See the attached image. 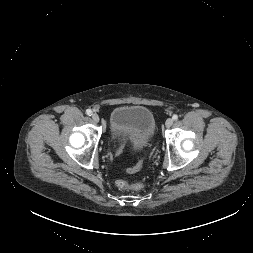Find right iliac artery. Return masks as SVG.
Returning a JSON list of instances; mask_svg holds the SVG:
<instances>
[{"mask_svg":"<svg viewBox=\"0 0 253 253\" xmlns=\"http://www.w3.org/2000/svg\"><path fill=\"white\" fill-rule=\"evenodd\" d=\"M86 113H87V115H89V116L92 115V111H91L90 109H87V110H86Z\"/></svg>","mask_w":253,"mask_h":253,"instance_id":"right-iliac-artery-1","label":"right iliac artery"}]
</instances>
